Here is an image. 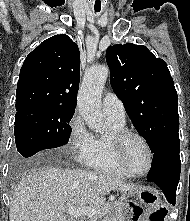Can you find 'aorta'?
I'll list each match as a JSON object with an SVG mask.
<instances>
[{"label": "aorta", "instance_id": "762f6f07", "mask_svg": "<svg viewBox=\"0 0 190 221\" xmlns=\"http://www.w3.org/2000/svg\"><path fill=\"white\" fill-rule=\"evenodd\" d=\"M109 74L107 65L92 67L84 76L77 106L88 127L96 132L105 129L101 111V93Z\"/></svg>", "mask_w": 190, "mask_h": 221}]
</instances>
